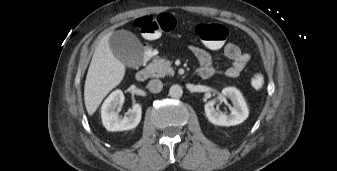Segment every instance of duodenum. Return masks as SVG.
I'll list each match as a JSON object with an SVG mask.
<instances>
[{
  "label": "duodenum",
  "instance_id": "1",
  "mask_svg": "<svg viewBox=\"0 0 337 171\" xmlns=\"http://www.w3.org/2000/svg\"><path fill=\"white\" fill-rule=\"evenodd\" d=\"M196 74L198 75V76H200V77H202L203 76V72L201 71V70H197L196 71ZM149 76H150V69L149 68H143V69H141V70H139L137 73H136V79L138 80V81H145V80H147L148 78H149Z\"/></svg>",
  "mask_w": 337,
  "mask_h": 171
}]
</instances>
